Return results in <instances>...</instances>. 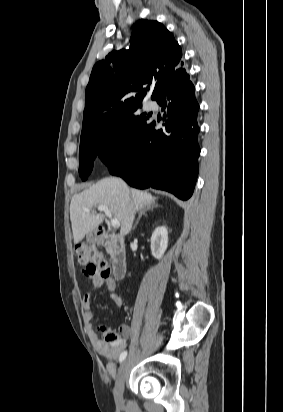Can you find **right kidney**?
Instances as JSON below:
<instances>
[{
  "instance_id": "ca27d5eb",
  "label": "right kidney",
  "mask_w": 283,
  "mask_h": 412,
  "mask_svg": "<svg viewBox=\"0 0 283 412\" xmlns=\"http://www.w3.org/2000/svg\"><path fill=\"white\" fill-rule=\"evenodd\" d=\"M168 245V232L165 226L157 227L151 236L152 255L160 260Z\"/></svg>"
}]
</instances>
